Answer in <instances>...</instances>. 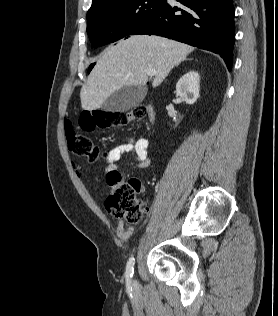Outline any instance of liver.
I'll return each mask as SVG.
<instances>
[{"instance_id":"6515ba94","label":"liver","mask_w":278,"mask_h":316,"mask_svg":"<svg viewBox=\"0 0 278 316\" xmlns=\"http://www.w3.org/2000/svg\"><path fill=\"white\" fill-rule=\"evenodd\" d=\"M193 47L155 35H133L106 49L80 91L84 110L102 107L105 100L124 86L148 81L155 70L153 87L159 86L175 65L186 59Z\"/></svg>"}]
</instances>
